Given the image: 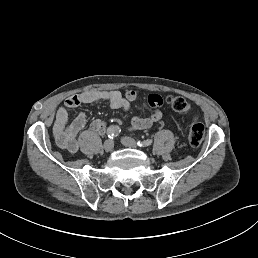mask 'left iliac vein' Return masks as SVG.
Here are the masks:
<instances>
[{
    "label": "left iliac vein",
    "mask_w": 258,
    "mask_h": 258,
    "mask_svg": "<svg viewBox=\"0 0 258 258\" xmlns=\"http://www.w3.org/2000/svg\"><path fill=\"white\" fill-rule=\"evenodd\" d=\"M123 145L128 146L131 148H136L139 147V142H137L134 138L132 137H124L123 138Z\"/></svg>",
    "instance_id": "1"
}]
</instances>
